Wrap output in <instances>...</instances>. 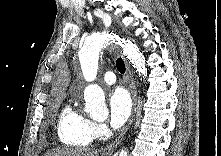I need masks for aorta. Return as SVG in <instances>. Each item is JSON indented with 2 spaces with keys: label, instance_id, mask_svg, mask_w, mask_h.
Masks as SVG:
<instances>
[{
  "label": "aorta",
  "instance_id": "1",
  "mask_svg": "<svg viewBox=\"0 0 221 156\" xmlns=\"http://www.w3.org/2000/svg\"><path fill=\"white\" fill-rule=\"evenodd\" d=\"M118 40L124 56L132 63L139 75L146 77V61L139 48L129 40L118 39L117 35L109 32L92 34L85 39L79 52L82 73L86 81L96 79L98 71L99 53L102 49L112 45ZM84 111L94 120H103L108 116L105 105V95L102 88L97 84H90L84 90ZM117 156H128V150H121Z\"/></svg>",
  "mask_w": 221,
  "mask_h": 156
}]
</instances>
